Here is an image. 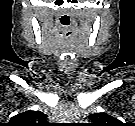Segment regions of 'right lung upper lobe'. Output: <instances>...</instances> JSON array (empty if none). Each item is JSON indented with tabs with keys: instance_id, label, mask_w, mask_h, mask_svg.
Listing matches in <instances>:
<instances>
[{
	"instance_id": "obj_1",
	"label": "right lung upper lobe",
	"mask_w": 135,
	"mask_h": 126,
	"mask_svg": "<svg viewBox=\"0 0 135 126\" xmlns=\"http://www.w3.org/2000/svg\"><path fill=\"white\" fill-rule=\"evenodd\" d=\"M45 119V115L40 111H26L15 115L11 118L13 124H31L42 122Z\"/></svg>"
}]
</instances>
